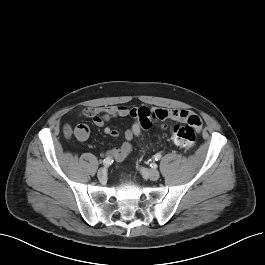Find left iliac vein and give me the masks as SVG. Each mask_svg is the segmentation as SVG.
<instances>
[{
    "mask_svg": "<svg viewBox=\"0 0 265 265\" xmlns=\"http://www.w3.org/2000/svg\"><path fill=\"white\" fill-rule=\"evenodd\" d=\"M140 172L145 178L153 180V181L158 180L160 177V173L155 169H148V168L141 167Z\"/></svg>",
    "mask_w": 265,
    "mask_h": 265,
    "instance_id": "left-iliac-vein-1",
    "label": "left iliac vein"
}]
</instances>
